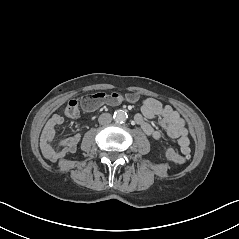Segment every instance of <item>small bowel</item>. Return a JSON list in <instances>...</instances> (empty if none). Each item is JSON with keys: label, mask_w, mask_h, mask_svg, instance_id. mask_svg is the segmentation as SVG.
Returning <instances> with one entry per match:
<instances>
[{"label": "small bowel", "mask_w": 239, "mask_h": 239, "mask_svg": "<svg viewBox=\"0 0 239 239\" xmlns=\"http://www.w3.org/2000/svg\"><path fill=\"white\" fill-rule=\"evenodd\" d=\"M97 107L84 108L92 111ZM66 117H68L65 114ZM159 117V126L163 128L170 138L176 139L183 155L190 153L189 132L185 120L177 110L169 105H163L154 98H146L142 101L141 112L135 116V121L142 130L155 140L162 138V132L149 121ZM64 122V117L53 115L45 124L41 137L40 147L44 156L55 162L69 153H74L80 141V135L74 134L58 143L54 142L56 129Z\"/></svg>", "instance_id": "1"}]
</instances>
